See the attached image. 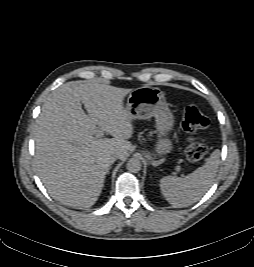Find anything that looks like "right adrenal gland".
I'll list each match as a JSON object with an SVG mask.
<instances>
[{"mask_svg":"<svg viewBox=\"0 0 254 267\" xmlns=\"http://www.w3.org/2000/svg\"><path fill=\"white\" fill-rule=\"evenodd\" d=\"M111 169V167L108 169V172H107V174H109V170Z\"/></svg>","mask_w":254,"mask_h":267,"instance_id":"right-adrenal-gland-1","label":"right adrenal gland"}]
</instances>
